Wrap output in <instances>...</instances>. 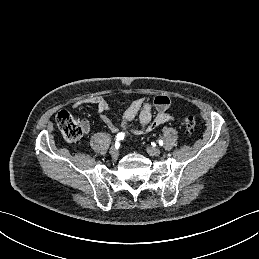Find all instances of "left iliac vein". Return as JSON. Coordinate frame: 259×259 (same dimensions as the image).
<instances>
[{
	"instance_id": "obj_1",
	"label": "left iliac vein",
	"mask_w": 259,
	"mask_h": 259,
	"mask_svg": "<svg viewBox=\"0 0 259 259\" xmlns=\"http://www.w3.org/2000/svg\"><path fill=\"white\" fill-rule=\"evenodd\" d=\"M146 152L150 156H159L160 153H161V150L159 148H156V147H147Z\"/></svg>"
}]
</instances>
